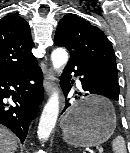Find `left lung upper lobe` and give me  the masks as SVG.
<instances>
[{
	"mask_svg": "<svg viewBox=\"0 0 130 153\" xmlns=\"http://www.w3.org/2000/svg\"><path fill=\"white\" fill-rule=\"evenodd\" d=\"M55 44L70 51L69 61H83L99 70L112 89L119 93L114 50L98 27L74 14H67L59 21Z\"/></svg>",
	"mask_w": 130,
	"mask_h": 153,
	"instance_id": "left-lung-upper-lobe-1",
	"label": "left lung upper lobe"
}]
</instances>
